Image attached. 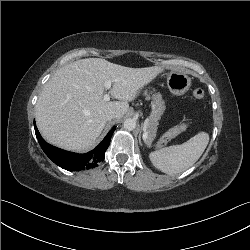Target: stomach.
Instances as JSON below:
<instances>
[{"instance_id":"1","label":"stomach","mask_w":250,"mask_h":250,"mask_svg":"<svg viewBox=\"0 0 250 250\" xmlns=\"http://www.w3.org/2000/svg\"><path fill=\"white\" fill-rule=\"evenodd\" d=\"M167 86L173 95H183L191 86V78L181 71H171L167 74Z\"/></svg>"}]
</instances>
